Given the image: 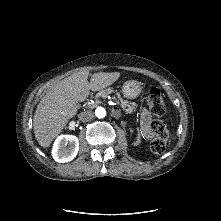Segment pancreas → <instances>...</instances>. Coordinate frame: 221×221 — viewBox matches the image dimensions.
Segmentation results:
<instances>
[{
    "instance_id": "obj_1",
    "label": "pancreas",
    "mask_w": 221,
    "mask_h": 221,
    "mask_svg": "<svg viewBox=\"0 0 221 221\" xmlns=\"http://www.w3.org/2000/svg\"><path fill=\"white\" fill-rule=\"evenodd\" d=\"M114 90H112L111 88H108L106 90H103L101 91L100 93H97L95 95V98L97 100H100L102 97L105 98L107 97V95L113 93ZM119 99H120V105L121 107L127 112V113H132V112H135L136 111V107H137V104L135 102H130V101H127V100H123L121 97H120V94L117 93Z\"/></svg>"
}]
</instances>
